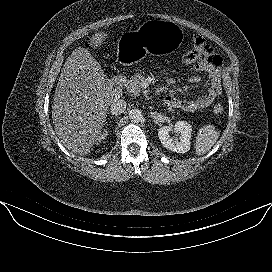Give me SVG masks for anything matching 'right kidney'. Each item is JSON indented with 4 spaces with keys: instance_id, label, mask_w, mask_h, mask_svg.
I'll return each mask as SVG.
<instances>
[{
    "instance_id": "obj_1",
    "label": "right kidney",
    "mask_w": 272,
    "mask_h": 272,
    "mask_svg": "<svg viewBox=\"0 0 272 272\" xmlns=\"http://www.w3.org/2000/svg\"><path fill=\"white\" fill-rule=\"evenodd\" d=\"M108 135V132H107V130H105L104 132H103V134L101 135V136H99V139H98V141L100 142L102 139H105V137Z\"/></svg>"
}]
</instances>
